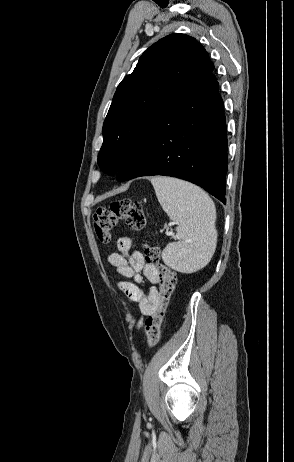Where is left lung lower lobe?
Listing matches in <instances>:
<instances>
[{"label":"left lung lower lobe","mask_w":294,"mask_h":462,"mask_svg":"<svg viewBox=\"0 0 294 462\" xmlns=\"http://www.w3.org/2000/svg\"><path fill=\"white\" fill-rule=\"evenodd\" d=\"M218 82L211 73L160 111L123 162L118 181L140 176L181 178L226 204L227 134Z\"/></svg>","instance_id":"left-lung-lower-lobe-1"}]
</instances>
